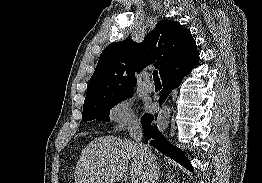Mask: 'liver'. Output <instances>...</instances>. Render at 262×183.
I'll list each match as a JSON object with an SVG mask.
<instances>
[{"label":"liver","mask_w":262,"mask_h":183,"mask_svg":"<svg viewBox=\"0 0 262 183\" xmlns=\"http://www.w3.org/2000/svg\"><path fill=\"white\" fill-rule=\"evenodd\" d=\"M128 169L132 177L142 179L143 160L137 144L129 139L101 136L83 149L74 172L75 183L119 182Z\"/></svg>","instance_id":"obj_1"}]
</instances>
